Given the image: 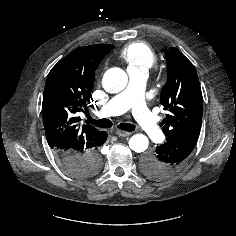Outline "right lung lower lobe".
<instances>
[{"instance_id":"1","label":"right lung lower lobe","mask_w":236,"mask_h":236,"mask_svg":"<svg viewBox=\"0 0 236 236\" xmlns=\"http://www.w3.org/2000/svg\"><path fill=\"white\" fill-rule=\"evenodd\" d=\"M107 133L104 132L101 136L99 144L90 151L86 156H79L72 153L58 154L57 158L63 167L76 177H91L95 174H88V171L93 167L98 166V171L101 168V155L99 152L100 146L105 143ZM98 173V172H97Z\"/></svg>"}]
</instances>
